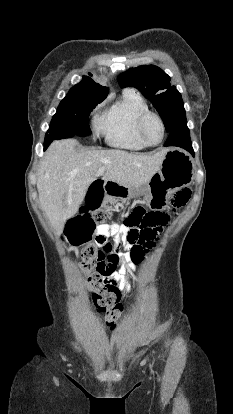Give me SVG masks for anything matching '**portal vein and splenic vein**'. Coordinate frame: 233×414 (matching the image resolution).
Returning <instances> with one entry per match:
<instances>
[{
	"label": "portal vein and splenic vein",
	"mask_w": 233,
	"mask_h": 414,
	"mask_svg": "<svg viewBox=\"0 0 233 414\" xmlns=\"http://www.w3.org/2000/svg\"><path fill=\"white\" fill-rule=\"evenodd\" d=\"M103 162H105V163H109L108 161H103ZM102 173H103V170H102V169H99V170H98V174H100V175H101Z\"/></svg>",
	"instance_id": "1"
}]
</instances>
